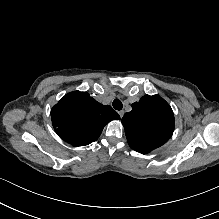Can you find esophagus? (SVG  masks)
Here are the masks:
<instances>
[{"mask_svg": "<svg viewBox=\"0 0 219 219\" xmlns=\"http://www.w3.org/2000/svg\"><path fill=\"white\" fill-rule=\"evenodd\" d=\"M119 115H120V117L122 118L123 115H124V110L119 111Z\"/></svg>", "mask_w": 219, "mask_h": 219, "instance_id": "34e87169", "label": "esophagus"}]
</instances>
